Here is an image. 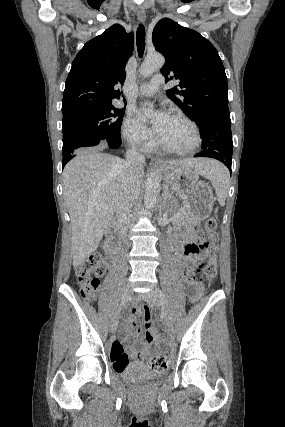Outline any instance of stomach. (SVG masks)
<instances>
[{"label":"stomach","instance_id":"1","mask_svg":"<svg viewBox=\"0 0 285 427\" xmlns=\"http://www.w3.org/2000/svg\"><path fill=\"white\" fill-rule=\"evenodd\" d=\"M162 172L171 190L185 202L188 218L198 222L209 217L214 196L210 187L199 180L190 167L166 164Z\"/></svg>","mask_w":285,"mask_h":427}]
</instances>
